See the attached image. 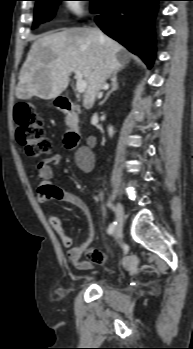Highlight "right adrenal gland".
I'll list each match as a JSON object with an SVG mask.
<instances>
[{
    "label": "right adrenal gland",
    "mask_w": 193,
    "mask_h": 349,
    "mask_svg": "<svg viewBox=\"0 0 193 349\" xmlns=\"http://www.w3.org/2000/svg\"><path fill=\"white\" fill-rule=\"evenodd\" d=\"M111 81H112L111 89L108 91V93L106 94L105 98L100 102V105L105 103L106 100L108 99V97L110 96V94L113 93L114 91H116L119 88L116 74L113 75Z\"/></svg>",
    "instance_id": "1"
}]
</instances>
